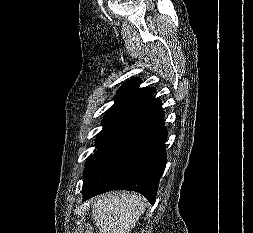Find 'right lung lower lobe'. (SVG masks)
Wrapping results in <instances>:
<instances>
[{"label":"right lung lower lobe","instance_id":"right-lung-lower-lobe-1","mask_svg":"<svg viewBox=\"0 0 253 233\" xmlns=\"http://www.w3.org/2000/svg\"><path fill=\"white\" fill-rule=\"evenodd\" d=\"M161 102L137 104L94 151L84 171L83 200L110 190H131L154 204L166 164L167 130Z\"/></svg>","mask_w":253,"mask_h":233}]
</instances>
